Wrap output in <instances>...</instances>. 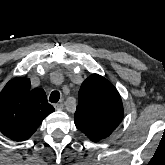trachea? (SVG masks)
Returning <instances> with one entry per match:
<instances>
[{
    "label": "trachea",
    "instance_id": "trachea-1",
    "mask_svg": "<svg viewBox=\"0 0 165 165\" xmlns=\"http://www.w3.org/2000/svg\"><path fill=\"white\" fill-rule=\"evenodd\" d=\"M60 99V93L58 91H53L51 94H50V102L51 103H57Z\"/></svg>",
    "mask_w": 165,
    "mask_h": 165
}]
</instances>
